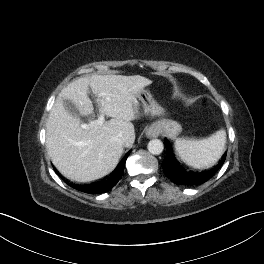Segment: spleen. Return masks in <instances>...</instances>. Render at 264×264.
<instances>
[{
    "label": "spleen",
    "instance_id": "spleen-1",
    "mask_svg": "<svg viewBox=\"0 0 264 264\" xmlns=\"http://www.w3.org/2000/svg\"><path fill=\"white\" fill-rule=\"evenodd\" d=\"M226 132L221 129L202 140L177 139L175 150L179 158L196 169L212 167L225 151Z\"/></svg>",
    "mask_w": 264,
    "mask_h": 264
}]
</instances>
